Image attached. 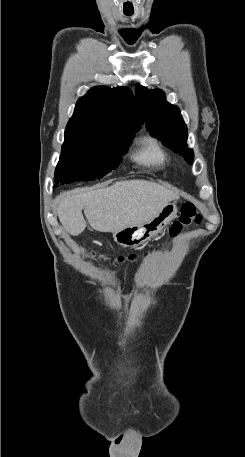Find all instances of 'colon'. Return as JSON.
Returning a JSON list of instances; mask_svg holds the SVG:
<instances>
[{"instance_id": "obj_1", "label": "colon", "mask_w": 245, "mask_h": 457, "mask_svg": "<svg viewBox=\"0 0 245 457\" xmlns=\"http://www.w3.org/2000/svg\"><path fill=\"white\" fill-rule=\"evenodd\" d=\"M202 221V215L197 211L196 206L191 202H186L181 207V213L177 221L170 227L169 233L172 238L178 237L185 228L191 225L199 224ZM147 253L142 256H146ZM140 256L137 254H130L127 256H120L117 258L119 263L134 262Z\"/></svg>"}]
</instances>
